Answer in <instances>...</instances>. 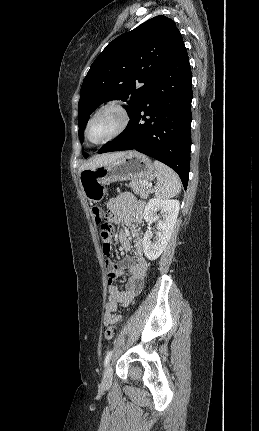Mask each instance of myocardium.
Instances as JSON below:
<instances>
[{
	"mask_svg": "<svg viewBox=\"0 0 259 431\" xmlns=\"http://www.w3.org/2000/svg\"><path fill=\"white\" fill-rule=\"evenodd\" d=\"M112 110L115 111L119 116V123L116 129L109 134L107 137L103 138L100 141L92 142L89 138V128L92 124V122L103 112ZM130 123V113L128 110V107L126 103L121 99H111L106 101L105 103L98 106L93 113L89 116L85 130H84V136L88 143L93 145H101L108 141H111L115 139L116 137L120 136L128 127Z\"/></svg>",
	"mask_w": 259,
	"mask_h": 431,
	"instance_id": "obj_1",
	"label": "myocardium"
}]
</instances>
